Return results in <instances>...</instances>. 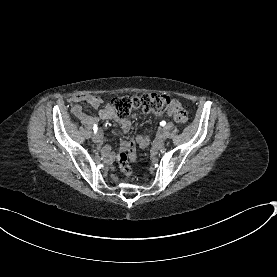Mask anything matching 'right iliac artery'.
Returning a JSON list of instances; mask_svg holds the SVG:
<instances>
[{
    "mask_svg": "<svg viewBox=\"0 0 277 277\" xmlns=\"http://www.w3.org/2000/svg\"><path fill=\"white\" fill-rule=\"evenodd\" d=\"M93 130H94V133H96V132H97L98 127H97V125H96V124H94V126H93Z\"/></svg>",
    "mask_w": 277,
    "mask_h": 277,
    "instance_id": "right-iliac-artery-1",
    "label": "right iliac artery"
}]
</instances>
